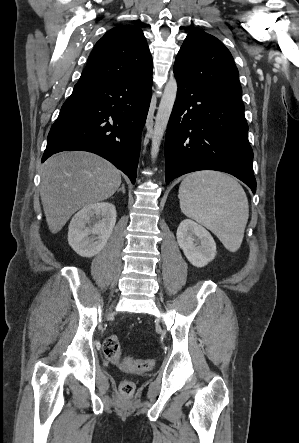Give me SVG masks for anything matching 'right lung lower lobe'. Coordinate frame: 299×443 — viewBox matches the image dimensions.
<instances>
[{"label":"right lung lower lobe","instance_id":"1","mask_svg":"<svg viewBox=\"0 0 299 443\" xmlns=\"http://www.w3.org/2000/svg\"><path fill=\"white\" fill-rule=\"evenodd\" d=\"M152 89V74L105 83H77L48 135L42 162L67 150L102 156L135 183Z\"/></svg>","mask_w":299,"mask_h":443}]
</instances>
